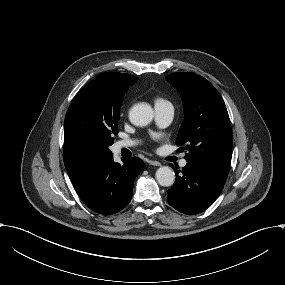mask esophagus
Wrapping results in <instances>:
<instances>
[{"label": "esophagus", "mask_w": 285, "mask_h": 285, "mask_svg": "<svg viewBox=\"0 0 285 285\" xmlns=\"http://www.w3.org/2000/svg\"><path fill=\"white\" fill-rule=\"evenodd\" d=\"M149 164L153 166H161V163L159 161H149Z\"/></svg>", "instance_id": "34e87169"}]
</instances>
